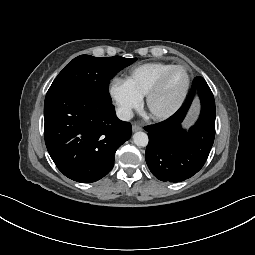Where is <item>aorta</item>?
Wrapping results in <instances>:
<instances>
[{"instance_id": "1", "label": "aorta", "mask_w": 255, "mask_h": 255, "mask_svg": "<svg viewBox=\"0 0 255 255\" xmlns=\"http://www.w3.org/2000/svg\"><path fill=\"white\" fill-rule=\"evenodd\" d=\"M133 142L138 147H145L148 144V135L144 132H136L133 135Z\"/></svg>"}]
</instances>
